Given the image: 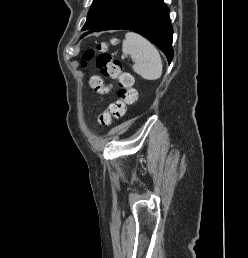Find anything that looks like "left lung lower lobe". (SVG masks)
I'll return each instance as SVG.
<instances>
[{
	"mask_svg": "<svg viewBox=\"0 0 248 258\" xmlns=\"http://www.w3.org/2000/svg\"><path fill=\"white\" fill-rule=\"evenodd\" d=\"M115 29L143 35L166 55L169 63L172 61L173 28L169 8L163 0H128L116 13L86 34Z\"/></svg>",
	"mask_w": 248,
	"mask_h": 258,
	"instance_id": "1",
	"label": "left lung lower lobe"
}]
</instances>
